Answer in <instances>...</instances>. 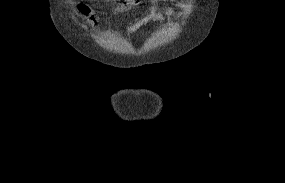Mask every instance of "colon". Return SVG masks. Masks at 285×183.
I'll use <instances>...</instances> for the list:
<instances>
[{
    "label": "colon",
    "instance_id": "1",
    "mask_svg": "<svg viewBox=\"0 0 285 183\" xmlns=\"http://www.w3.org/2000/svg\"><path fill=\"white\" fill-rule=\"evenodd\" d=\"M132 2H136L137 0H131ZM81 12H83L85 15H88V10L85 6H80Z\"/></svg>",
    "mask_w": 285,
    "mask_h": 183
}]
</instances>
